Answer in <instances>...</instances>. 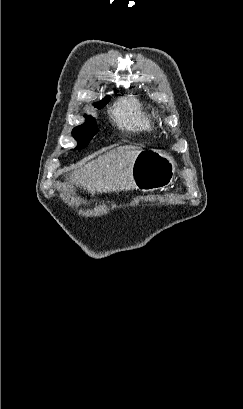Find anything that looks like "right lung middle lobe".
Listing matches in <instances>:
<instances>
[{"instance_id":"dd1d6c3e","label":"right lung middle lobe","mask_w":243,"mask_h":409,"mask_svg":"<svg viewBox=\"0 0 243 409\" xmlns=\"http://www.w3.org/2000/svg\"><path fill=\"white\" fill-rule=\"evenodd\" d=\"M109 100H110V97L107 96L102 102L95 105V107L100 109L104 107L109 102ZM96 133H97V125L95 123V119L92 118L91 116H87V121L83 125L75 127L72 131V135L75 137V140L78 142V145L75 149L85 148Z\"/></svg>"}]
</instances>
